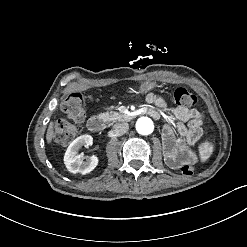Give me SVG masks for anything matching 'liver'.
Listing matches in <instances>:
<instances>
[{
    "label": "liver",
    "mask_w": 247,
    "mask_h": 247,
    "mask_svg": "<svg viewBox=\"0 0 247 247\" xmlns=\"http://www.w3.org/2000/svg\"><path fill=\"white\" fill-rule=\"evenodd\" d=\"M55 128H56V123L51 120L48 124L47 132H46L47 145H50L55 137Z\"/></svg>",
    "instance_id": "liver-1"
}]
</instances>
